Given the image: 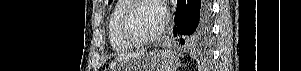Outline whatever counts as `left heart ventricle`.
I'll list each match as a JSON object with an SVG mask.
<instances>
[{
    "instance_id": "obj_1",
    "label": "left heart ventricle",
    "mask_w": 301,
    "mask_h": 71,
    "mask_svg": "<svg viewBox=\"0 0 301 71\" xmlns=\"http://www.w3.org/2000/svg\"><path fill=\"white\" fill-rule=\"evenodd\" d=\"M129 24L140 38L154 35L163 24L159 7L151 2L139 3L130 13Z\"/></svg>"
}]
</instances>
